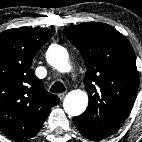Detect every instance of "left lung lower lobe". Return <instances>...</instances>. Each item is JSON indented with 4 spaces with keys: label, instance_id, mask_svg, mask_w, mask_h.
<instances>
[{
    "label": "left lung lower lobe",
    "instance_id": "0a47b994",
    "mask_svg": "<svg viewBox=\"0 0 142 142\" xmlns=\"http://www.w3.org/2000/svg\"><path fill=\"white\" fill-rule=\"evenodd\" d=\"M73 122L77 127L78 131L87 139L99 141L106 138L90 129L86 124H84L81 120L77 118H73Z\"/></svg>",
    "mask_w": 142,
    "mask_h": 142
}]
</instances>
